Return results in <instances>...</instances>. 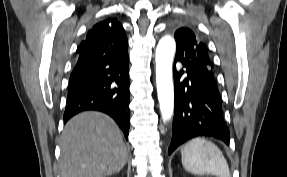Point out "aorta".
<instances>
[{"label":"aorta","instance_id":"1","mask_svg":"<svg viewBox=\"0 0 287 177\" xmlns=\"http://www.w3.org/2000/svg\"><path fill=\"white\" fill-rule=\"evenodd\" d=\"M175 50V40L169 35L161 38L156 47V84L159 107L163 122H168L171 119L174 111L172 63Z\"/></svg>","mask_w":287,"mask_h":177}]
</instances>
